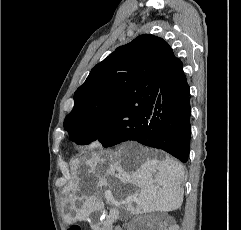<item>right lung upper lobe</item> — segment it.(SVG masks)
<instances>
[{
    "label": "right lung upper lobe",
    "instance_id": "right-lung-upper-lobe-1",
    "mask_svg": "<svg viewBox=\"0 0 241 230\" xmlns=\"http://www.w3.org/2000/svg\"><path fill=\"white\" fill-rule=\"evenodd\" d=\"M177 59L168 43L153 35H141L118 47L91 70L74 93L65 129L82 121L106 119L115 108H134L153 100Z\"/></svg>",
    "mask_w": 241,
    "mask_h": 230
}]
</instances>
